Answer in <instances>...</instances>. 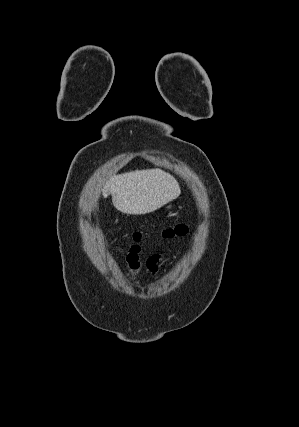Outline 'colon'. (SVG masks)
<instances>
[{
	"label": "colon",
	"instance_id": "obj_1",
	"mask_svg": "<svg viewBox=\"0 0 299 427\" xmlns=\"http://www.w3.org/2000/svg\"><path fill=\"white\" fill-rule=\"evenodd\" d=\"M188 227L185 224H178L174 227H169L162 231V236L164 238H173L176 236H183L187 233ZM143 235L141 233H135L133 238L135 240H141Z\"/></svg>",
	"mask_w": 299,
	"mask_h": 427
}]
</instances>
